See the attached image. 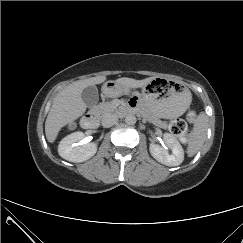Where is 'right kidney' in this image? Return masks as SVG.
I'll use <instances>...</instances> for the list:
<instances>
[{
    "label": "right kidney",
    "instance_id": "ca27d5eb",
    "mask_svg": "<svg viewBox=\"0 0 243 243\" xmlns=\"http://www.w3.org/2000/svg\"><path fill=\"white\" fill-rule=\"evenodd\" d=\"M97 152V144L89 143L83 132H74L63 138L58 145L59 155L70 162H84Z\"/></svg>",
    "mask_w": 243,
    "mask_h": 243
}]
</instances>
